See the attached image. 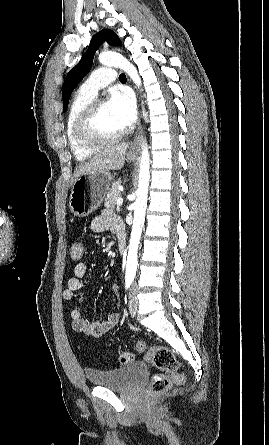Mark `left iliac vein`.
<instances>
[{"instance_id": "obj_1", "label": "left iliac vein", "mask_w": 269, "mask_h": 445, "mask_svg": "<svg viewBox=\"0 0 269 445\" xmlns=\"http://www.w3.org/2000/svg\"><path fill=\"white\" fill-rule=\"evenodd\" d=\"M136 285H133L129 293V311L132 316H134L138 309V300L136 297Z\"/></svg>"}]
</instances>
